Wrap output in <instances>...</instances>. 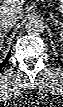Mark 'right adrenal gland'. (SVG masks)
I'll list each match as a JSON object with an SVG mask.
<instances>
[{
    "label": "right adrenal gland",
    "instance_id": "1",
    "mask_svg": "<svg viewBox=\"0 0 63 107\" xmlns=\"http://www.w3.org/2000/svg\"><path fill=\"white\" fill-rule=\"evenodd\" d=\"M8 32V30L7 31H4L3 33H1V39H0V44L2 45V43H3V38L5 37V35H6V33Z\"/></svg>",
    "mask_w": 63,
    "mask_h": 107
}]
</instances>
